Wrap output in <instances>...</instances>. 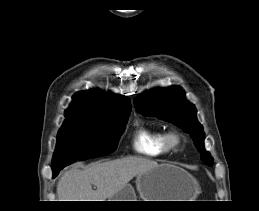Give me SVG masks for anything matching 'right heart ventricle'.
I'll return each instance as SVG.
<instances>
[{
	"instance_id": "obj_1",
	"label": "right heart ventricle",
	"mask_w": 259,
	"mask_h": 211,
	"mask_svg": "<svg viewBox=\"0 0 259 211\" xmlns=\"http://www.w3.org/2000/svg\"><path fill=\"white\" fill-rule=\"evenodd\" d=\"M165 138L166 131L162 127L142 125L134 131L132 148L146 157H161L169 153Z\"/></svg>"
}]
</instances>
